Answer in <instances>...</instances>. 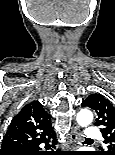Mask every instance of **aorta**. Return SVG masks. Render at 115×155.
I'll return each mask as SVG.
<instances>
[{
  "label": "aorta",
  "instance_id": "aorta-1",
  "mask_svg": "<svg viewBox=\"0 0 115 155\" xmlns=\"http://www.w3.org/2000/svg\"><path fill=\"white\" fill-rule=\"evenodd\" d=\"M76 120L80 126L86 127L92 123L93 113L89 109H82L78 112Z\"/></svg>",
  "mask_w": 115,
  "mask_h": 155
}]
</instances>
